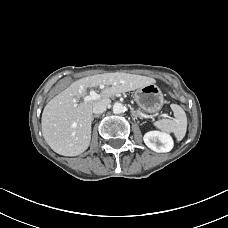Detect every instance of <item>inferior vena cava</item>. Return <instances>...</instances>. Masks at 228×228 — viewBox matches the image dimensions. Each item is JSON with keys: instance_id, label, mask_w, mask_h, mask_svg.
Instances as JSON below:
<instances>
[{"instance_id": "1", "label": "inferior vena cava", "mask_w": 228, "mask_h": 228, "mask_svg": "<svg viewBox=\"0 0 228 228\" xmlns=\"http://www.w3.org/2000/svg\"><path fill=\"white\" fill-rule=\"evenodd\" d=\"M109 101H98L93 107V113L101 114L106 111Z\"/></svg>"}]
</instances>
